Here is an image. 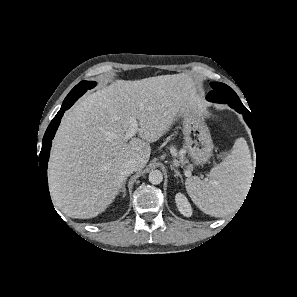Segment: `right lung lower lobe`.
Wrapping results in <instances>:
<instances>
[{
	"instance_id": "obj_1",
	"label": "right lung lower lobe",
	"mask_w": 297,
	"mask_h": 297,
	"mask_svg": "<svg viewBox=\"0 0 297 297\" xmlns=\"http://www.w3.org/2000/svg\"><path fill=\"white\" fill-rule=\"evenodd\" d=\"M68 109V107L60 109V111L57 113V115L53 118L51 121L50 125L48 126L45 135L43 137L42 141V148L41 152L39 155V170H40V175L43 181V188L46 191V195L48 194L49 196V190H48V183H47V165H48V159H49V154H50V149H51V144H52V139L56 133V130L60 124L61 118L63 116V113ZM50 198V196H49Z\"/></svg>"
}]
</instances>
